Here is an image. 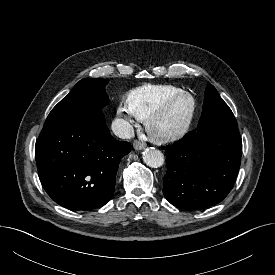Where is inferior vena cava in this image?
<instances>
[{
  "label": "inferior vena cava",
  "instance_id": "obj_1",
  "mask_svg": "<svg viewBox=\"0 0 275 275\" xmlns=\"http://www.w3.org/2000/svg\"><path fill=\"white\" fill-rule=\"evenodd\" d=\"M111 129L119 138L130 139L134 137V129L132 125L124 119H115L112 122Z\"/></svg>",
  "mask_w": 275,
  "mask_h": 275
}]
</instances>
